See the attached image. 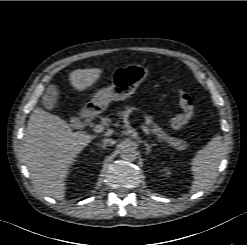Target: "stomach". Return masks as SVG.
<instances>
[{
    "label": "stomach",
    "instance_id": "stomach-1",
    "mask_svg": "<svg viewBox=\"0 0 247 245\" xmlns=\"http://www.w3.org/2000/svg\"><path fill=\"white\" fill-rule=\"evenodd\" d=\"M149 74V69L138 63L115 68L111 85L95 93L89 102L90 108L104 111L111 101H122L131 97Z\"/></svg>",
    "mask_w": 247,
    "mask_h": 245
}]
</instances>
